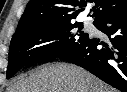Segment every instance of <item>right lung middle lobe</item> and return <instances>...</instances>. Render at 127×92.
<instances>
[{
    "label": "right lung middle lobe",
    "instance_id": "right-lung-middle-lobe-1",
    "mask_svg": "<svg viewBox=\"0 0 127 92\" xmlns=\"http://www.w3.org/2000/svg\"><path fill=\"white\" fill-rule=\"evenodd\" d=\"M82 23L61 26H38L11 40L7 79L23 66L57 58L85 42L89 35Z\"/></svg>",
    "mask_w": 127,
    "mask_h": 92
}]
</instances>
